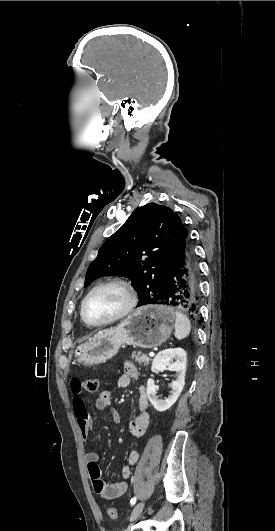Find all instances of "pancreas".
<instances>
[{"label":"pancreas","mask_w":275,"mask_h":531,"mask_svg":"<svg viewBox=\"0 0 275 531\" xmlns=\"http://www.w3.org/2000/svg\"><path fill=\"white\" fill-rule=\"evenodd\" d=\"M131 357L137 361L138 365H144V367H148L150 361H152L145 353H136V351H133Z\"/></svg>","instance_id":"cf45deb5"}]
</instances>
